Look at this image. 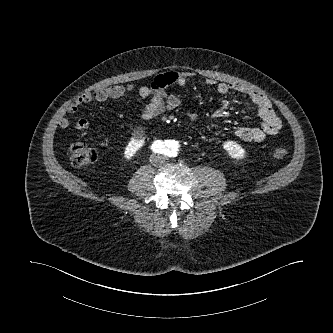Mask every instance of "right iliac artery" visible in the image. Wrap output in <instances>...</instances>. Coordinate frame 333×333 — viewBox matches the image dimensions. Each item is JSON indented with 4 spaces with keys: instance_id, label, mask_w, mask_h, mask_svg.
<instances>
[{
    "instance_id": "obj_1",
    "label": "right iliac artery",
    "mask_w": 333,
    "mask_h": 333,
    "mask_svg": "<svg viewBox=\"0 0 333 333\" xmlns=\"http://www.w3.org/2000/svg\"><path fill=\"white\" fill-rule=\"evenodd\" d=\"M167 143H169V142L165 141V143H163L162 141L157 140L152 144L151 149L154 152L166 154L167 150H166L165 146L169 147Z\"/></svg>"
}]
</instances>
